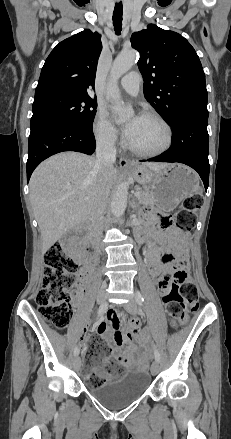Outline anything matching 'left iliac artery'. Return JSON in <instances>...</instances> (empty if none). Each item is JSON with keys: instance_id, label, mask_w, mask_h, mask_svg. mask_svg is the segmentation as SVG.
Here are the masks:
<instances>
[{"instance_id": "left-iliac-artery-1", "label": "left iliac artery", "mask_w": 231, "mask_h": 439, "mask_svg": "<svg viewBox=\"0 0 231 439\" xmlns=\"http://www.w3.org/2000/svg\"><path fill=\"white\" fill-rule=\"evenodd\" d=\"M136 301L140 306L143 305V303H144V298L139 291L136 292ZM154 356H155V360L160 362V354H159L157 348L155 347V345H154Z\"/></svg>"}]
</instances>
